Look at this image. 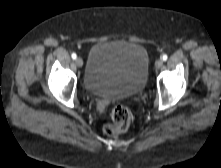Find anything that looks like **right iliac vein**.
<instances>
[{"label": "right iliac vein", "instance_id": "right-iliac-vein-1", "mask_svg": "<svg viewBox=\"0 0 221 168\" xmlns=\"http://www.w3.org/2000/svg\"><path fill=\"white\" fill-rule=\"evenodd\" d=\"M75 63L78 67H82L83 66V59L81 57H78L75 59Z\"/></svg>", "mask_w": 221, "mask_h": 168}]
</instances>
